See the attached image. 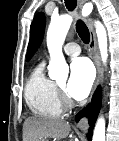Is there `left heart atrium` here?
<instances>
[{"label": "left heart atrium", "mask_w": 119, "mask_h": 141, "mask_svg": "<svg viewBox=\"0 0 119 141\" xmlns=\"http://www.w3.org/2000/svg\"><path fill=\"white\" fill-rule=\"evenodd\" d=\"M94 70L86 58H77L70 64V78L66 86L68 95L75 100L84 99L94 82Z\"/></svg>", "instance_id": "obj_1"}]
</instances>
